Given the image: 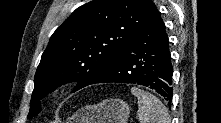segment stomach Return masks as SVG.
<instances>
[{"mask_svg":"<svg viewBox=\"0 0 221 123\" xmlns=\"http://www.w3.org/2000/svg\"><path fill=\"white\" fill-rule=\"evenodd\" d=\"M129 105L121 99H109L80 108L68 123H126Z\"/></svg>","mask_w":221,"mask_h":123,"instance_id":"stomach-1","label":"stomach"}]
</instances>
